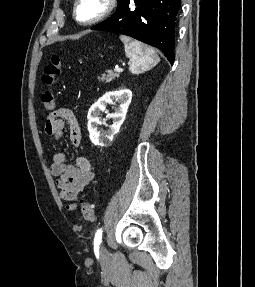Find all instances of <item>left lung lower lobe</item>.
<instances>
[{
	"label": "left lung lower lobe",
	"instance_id": "1",
	"mask_svg": "<svg viewBox=\"0 0 255 287\" xmlns=\"http://www.w3.org/2000/svg\"><path fill=\"white\" fill-rule=\"evenodd\" d=\"M114 16L92 27L131 36L159 48L174 62L175 29L181 0H118Z\"/></svg>",
	"mask_w": 255,
	"mask_h": 287
}]
</instances>
